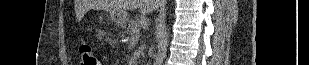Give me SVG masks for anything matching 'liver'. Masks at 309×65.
I'll list each match as a JSON object with an SVG mask.
<instances>
[{
    "mask_svg": "<svg viewBox=\"0 0 309 65\" xmlns=\"http://www.w3.org/2000/svg\"><path fill=\"white\" fill-rule=\"evenodd\" d=\"M161 3L160 0H99L95 3V6L109 11L135 10L138 8L140 13L148 14L158 9Z\"/></svg>",
    "mask_w": 309,
    "mask_h": 65,
    "instance_id": "6515ba94",
    "label": "liver"
}]
</instances>
